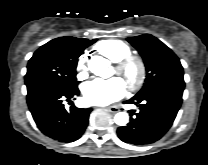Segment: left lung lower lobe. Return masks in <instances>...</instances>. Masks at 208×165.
<instances>
[{
    "label": "left lung lower lobe",
    "instance_id": "obj_1",
    "mask_svg": "<svg viewBox=\"0 0 208 165\" xmlns=\"http://www.w3.org/2000/svg\"><path fill=\"white\" fill-rule=\"evenodd\" d=\"M184 87V82H166L126 101L139 104L140 111H129L130 122L118 128V137L123 142L135 145L159 140L174 122L182 103Z\"/></svg>",
    "mask_w": 208,
    "mask_h": 165
}]
</instances>
